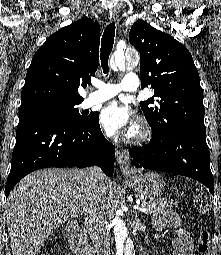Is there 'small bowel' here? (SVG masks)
<instances>
[{"label":"small bowel","mask_w":221,"mask_h":255,"mask_svg":"<svg viewBox=\"0 0 221 255\" xmlns=\"http://www.w3.org/2000/svg\"><path fill=\"white\" fill-rule=\"evenodd\" d=\"M152 226L158 232H163L166 227L175 230L176 237L171 241L174 255H193V240L186 231L180 228V219L174 212L166 211L163 216L154 217Z\"/></svg>","instance_id":"1"}]
</instances>
